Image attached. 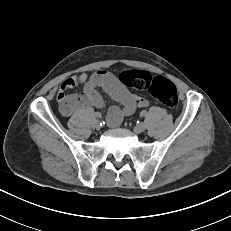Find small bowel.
<instances>
[{
	"instance_id": "c3829d8e",
	"label": "small bowel",
	"mask_w": 231,
	"mask_h": 231,
	"mask_svg": "<svg viewBox=\"0 0 231 231\" xmlns=\"http://www.w3.org/2000/svg\"><path fill=\"white\" fill-rule=\"evenodd\" d=\"M80 85L83 87L81 94H67L68 90ZM99 89L120 104L119 107L111 108L107 114L108 124L112 127L120 124L124 116L148 106L145 98L130 91L113 73L101 70L92 75L81 73L71 76L61 84L57 94L60 112L63 116L70 117L78 111L102 108L104 101Z\"/></svg>"
}]
</instances>
